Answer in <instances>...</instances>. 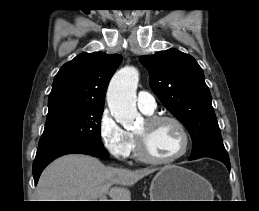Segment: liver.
I'll return each mask as SVG.
<instances>
[{
  "mask_svg": "<svg viewBox=\"0 0 259 211\" xmlns=\"http://www.w3.org/2000/svg\"><path fill=\"white\" fill-rule=\"evenodd\" d=\"M155 168L128 170L105 166L97 158L70 154L52 162L41 174L37 201H131L129 186L155 172Z\"/></svg>",
  "mask_w": 259,
  "mask_h": 211,
  "instance_id": "liver-1",
  "label": "liver"
}]
</instances>
